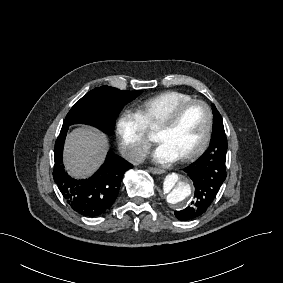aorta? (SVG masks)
Wrapping results in <instances>:
<instances>
[{
	"label": "aorta",
	"mask_w": 283,
	"mask_h": 283,
	"mask_svg": "<svg viewBox=\"0 0 283 283\" xmlns=\"http://www.w3.org/2000/svg\"><path fill=\"white\" fill-rule=\"evenodd\" d=\"M160 194L170 206L182 209L192 200V182L182 173L168 174L163 181Z\"/></svg>",
	"instance_id": "aorta-1"
}]
</instances>
